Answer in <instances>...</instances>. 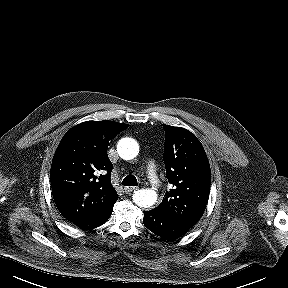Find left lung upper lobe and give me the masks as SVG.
Listing matches in <instances>:
<instances>
[{
	"instance_id": "1",
	"label": "left lung upper lobe",
	"mask_w": 288,
	"mask_h": 288,
	"mask_svg": "<svg viewBox=\"0 0 288 288\" xmlns=\"http://www.w3.org/2000/svg\"><path fill=\"white\" fill-rule=\"evenodd\" d=\"M165 130L164 163L173 189L154 210L178 224L193 227L209 199L211 170L199 140L190 131L169 125Z\"/></svg>"
}]
</instances>
